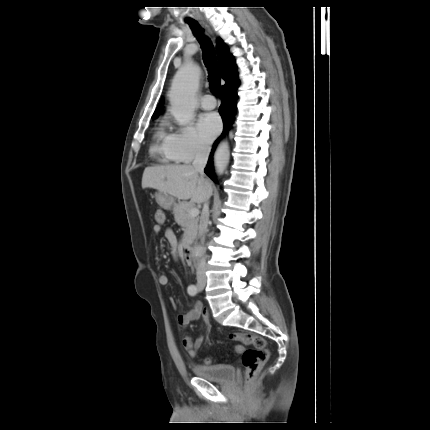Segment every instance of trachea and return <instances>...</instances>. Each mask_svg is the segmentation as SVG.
I'll use <instances>...</instances> for the list:
<instances>
[{
    "mask_svg": "<svg viewBox=\"0 0 430 430\" xmlns=\"http://www.w3.org/2000/svg\"><path fill=\"white\" fill-rule=\"evenodd\" d=\"M190 27L193 31V34L200 42L201 48L203 50V60L209 72L208 81H209L210 89L214 95H216L217 97H220L221 96L220 68L216 60V55L214 52L213 45L207 37H204L202 35V30L199 28L197 24L191 23Z\"/></svg>",
    "mask_w": 430,
    "mask_h": 430,
    "instance_id": "obj_1",
    "label": "trachea"
}]
</instances>
